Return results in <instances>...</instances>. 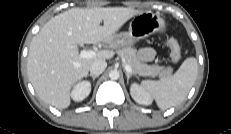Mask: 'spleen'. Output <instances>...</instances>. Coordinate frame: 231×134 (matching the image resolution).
I'll return each mask as SVG.
<instances>
[{
	"label": "spleen",
	"instance_id": "obj_1",
	"mask_svg": "<svg viewBox=\"0 0 231 134\" xmlns=\"http://www.w3.org/2000/svg\"><path fill=\"white\" fill-rule=\"evenodd\" d=\"M198 74L196 58L184 60L174 75L161 78L158 81L145 80L142 87L156 100L162 110L179 105L187 97Z\"/></svg>",
	"mask_w": 231,
	"mask_h": 134
}]
</instances>
